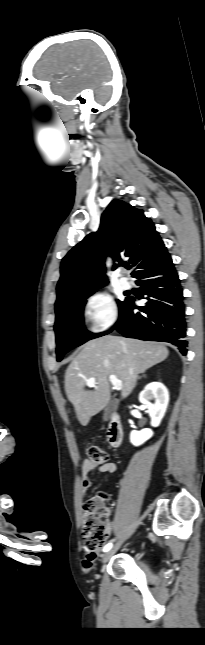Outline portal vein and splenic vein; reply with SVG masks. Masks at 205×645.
<instances>
[{"label":"portal vein and splenic vein","mask_w":205,"mask_h":645,"mask_svg":"<svg viewBox=\"0 0 205 645\" xmlns=\"http://www.w3.org/2000/svg\"><path fill=\"white\" fill-rule=\"evenodd\" d=\"M109 380L112 383L113 388L115 390L120 391L122 389V381L119 380L116 376L110 375ZM95 384H96V378L95 377L89 378L86 381V385L89 386V387H93Z\"/></svg>","instance_id":"portal-vein-and-splenic-vein-1"}]
</instances>
